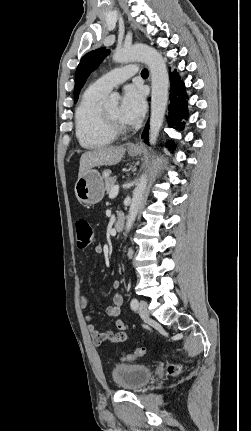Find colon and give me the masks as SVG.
<instances>
[{"label": "colon", "mask_w": 251, "mask_h": 431, "mask_svg": "<svg viewBox=\"0 0 251 431\" xmlns=\"http://www.w3.org/2000/svg\"><path fill=\"white\" fill-rule=\"evenodd\" d=\"M76 229V243L78 248L85 249L89 247L94 241V231L90 222L86 219H79L75 225ZM145 349L142 347L134 349L131 353L123 356L122 361H133L135 359L143 357ZM181 371V365L178 363H169L167 365V372L170 375H177Z\"/></svg>", "instance_id": "obj_1"}]
</instances>
